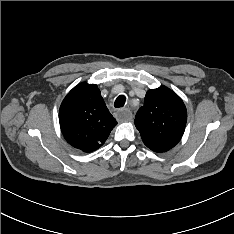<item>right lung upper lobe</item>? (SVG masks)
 Returning a JSON list of instances; mask_svg holds the SVG:
<instances>
[{
	"instance_id": "cb5924a9",
	"label": "right lung upper lobe",
	"mask_w": 234,
	"mask_h": 234,
	"mask_svg": "<svg viewBox=\"0 0 234 234\" xmlns=\"http://www.w3.org/2000/svg\"><path fill=\"white\" fill-rule=\"evenodd\" d=\"M59 122L66 141L84 152L102 146L117 124L97 85L86 82L75 86L64 98Z\"/></svg>"
}]
</instances>
